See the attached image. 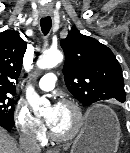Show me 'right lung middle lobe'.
<instances>
[{"instance_id": "1", "label": "right lung middle lobe", "mask_w": 130, "mask_h": 153, "mask_svg": "<svg viewBox=\"0 0 130 153\" xmlns=\"http://www.w3.org/2000/svg\"><path fill=\"white\" fill-rule=\"evenodd\" d=\"M14 100L9 94L0 93V118L6 120L10 124H14Z\"/></svg>"}]
</instances>
